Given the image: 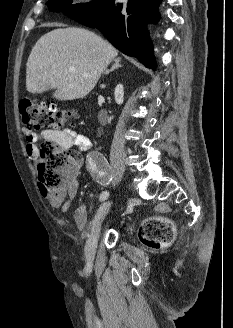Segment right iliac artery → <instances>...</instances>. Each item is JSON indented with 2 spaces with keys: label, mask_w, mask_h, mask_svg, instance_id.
Returning a JSON list of instances; mask_svg holds the SVG:
<instances>
[{
  "label": "right iliac artery",
  "mask_w": 233,
  "mask_h": 328,
  "mask_svg": "<svg viewBox=\"0 0 233 328\" xmlns=\"http://www.w3.org/2000/svg\"><path fill=\"white\" fill-rule=\"evenodd\" d=\"M88 165L91 170V174H92L93 178L100 185L105 186L106 184H108L106 174H105V170L108 167V163L101 153H99V152L91 153V155L89 156V159H88ZM108 196H109V193L107 191L102 192L100 195V201L106 200L108 198Z\"/></svg>",
  "instance_id": "right-iliac-artery-1"
}]
</instances>
